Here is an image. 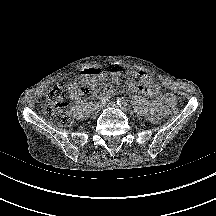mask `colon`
<instances>
[{
    "label": "colon",
    "mask_w": 216,
    "mask_h": 216,
    "mask_svg": "<svg viewBox=\"0 0 216 216\" xmlns=\"http://www.w3.org/2000/svg\"><path fill=\"white\" fill-rule=\"evenodd\" d=\"M79 88L75 84L59 83L54 85L47 94V103L44 111L51 117L53 122L59 126H69L72 122L68 112L69 100L74 98ZM170 113L177 115L179 113L177 99L174 97L170 104Z\"/></svg>",
    "instance_id": "obj_1"
}]
</instances>
